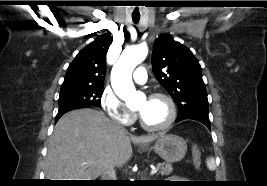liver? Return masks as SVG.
Here are the masks:
<instances>
[{
    "mask_svg": "<svg viewBox=\"0 0 267 186\" xmlns=\"http://www.w3.org/2000/svg\"><path fill=\"white\" fill-rule=\"evenodd\" d=\"M162 134L136 137L121 131L101 111L84 108L65 114L49 139L45 177L49 180H95L109 166L132 156L131 142L150 143Z\"/></svg>",
    "mask_w": 267,
    "mask_h": 186,
    "instance_id": "liver-1",
    "label": "liver"
}]
</instances>
